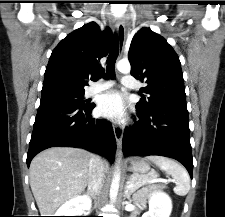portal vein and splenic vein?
I'll return each instance as SVG.
<instances>
[{"mask_svg": "<svg viewBox=\"0 0 225 217\" xmlns=\"http://www.w3.org/2000/svg\"><path fill=\"white\" fill-rule=\"evenodd\" d=\"M173 180H170V179H163V178H158V175L155 174V173H152V179L149 180L148 182L149 183H154V182H163V183H166V182H172ZM133 187V184H128L126 186L127 189H130Z\"/></svg>", "mask_w": 225, "mask_h": 217, "instance_id": "18ae733b", "label": "portal vein and splenic vein"}]
</instances>
